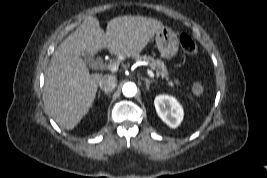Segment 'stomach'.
Listing matches in <instances>:
<instances>
[{"mask_svg":"<svg viewBox=\"0 0 267 178\" xmlns=\"http://www.w3.org/2000/svg\"><path fill=\"white\" fill-rule=\"evenodd\" d=\"M156 46L165 58L174 57L179 49L177 34L170 28L164 27L155 35Z\"/></svg>","mask_w":267,"mask_h":178,"instance_id":"0dacf381","label":"stomach"}]
</instances>
